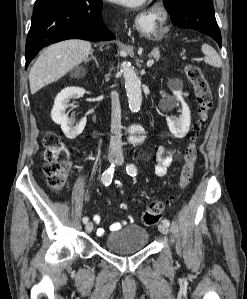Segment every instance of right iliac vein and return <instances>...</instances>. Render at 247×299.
<instances>
[{
  "instance_id": "1",
  "label": "right iliac vein",
  "mask_w": 247,
  "mask_h": 299,
  "mask_svg": "<svg viewBox=\"0 0 247 299\" xmlns=\"http://www.w3.org/2000/svg\"><path fill=\"white\" fill-rule=\"evenodd\" d=\"M116 158H117V156L114 155V154L109 155V161L110 162H113ZM92 230H93V223L92 222H88L85 225V231H86V233H91Z\"/></svg>"
}]
</instances>
